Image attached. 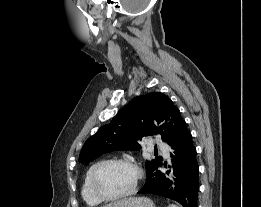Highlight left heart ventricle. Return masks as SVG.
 Masks as SVG:
<instances>
[{"instance_id":"b2bd125f","label":"left heart ventricle","mask_w":261,"mask_h":207,"mask_svg":"<svg viewBox=\"0 0 261 207\" xmlns=\"http://www.w3.org/2000/svg\"><path fill=\"white\" fill-rule=\"evenodd\" d=\"M134 169L124 164H114L105 168L98 180L100 190L106 195H117L129 190L134 184Z\"/></svg>"}]
</instances>
